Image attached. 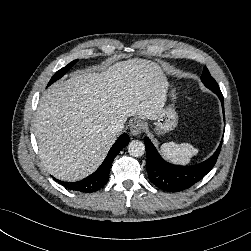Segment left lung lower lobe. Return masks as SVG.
I'll list each match as a JSON object with an SVG mask.
<instances>
[{
	"instance_id": "1",
	"label": "left lung lower lobe",
	"mask_w": 251,
	"mask_h": 251,
	"mask_svg": "<svg viewBox=\"0 0 251 251\" xmlns=\"http://www.w3.org/2000/svg\"><path fill=\"white\" fill-rule=\"evenodd\" d=\"M220 99L223 112V95L220 90H211ZM147 163L146 169L150 181L158 188L169 191L179 192L190 188L200 181L215 165L222 142L216 152L207 160L191 166H180L166 162L158 153L149 138L144 139Z\"/></svg>"
}]
</instances>
